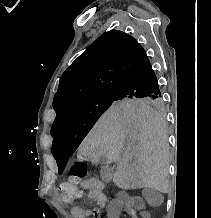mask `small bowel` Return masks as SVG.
Returning a JSON list of instances; mask_svg holds the SVG:
<instances>
[{
    "instance_id": "1",
    "label": "small bowel",
    "mask_w": 211,
    "mask_h": 218,
    "mask_svg": "<svg viewBox=\"0 0 211 218\" xmlns=\"http://www.w3.org/2000/svg\"><path fill=\"white\" fill-rule=\"evenodd\" d=\"M81 188L87 193L89 200L95 203L99 208H103L106 203V196L104 195V184L97 179H87L81 183ZM53 196H58V190L56 188L51 189ZM74 218H87L90 215L89 210L82 208L73 209ZM113 216L127 217V218H146L148 215L146 212L139 211L134 207L117 208L112 213Z\"/></svg>"
}]
</instances>
